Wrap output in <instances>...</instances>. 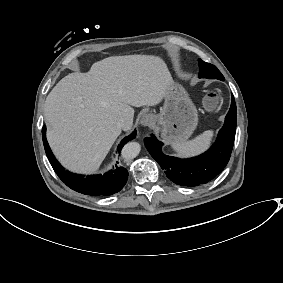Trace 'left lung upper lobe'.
Wrapping results in <instances>:
<instances>
[{"label": "left lung upper lobe", "instance_id": "1", "mask_svg": "<svg viewBox=\"0 0 283 283\" xmlns=\"http://www.w3.org/2000/svg\"><path fill=\"white\" fill-rule=\"evenodd\" d=\"M199 78L219 79L224 80L221 72L212 64L206 63L199 59Z\"/></svg>", "mask_w": 283, "mask_h": 283}]
</instances>
